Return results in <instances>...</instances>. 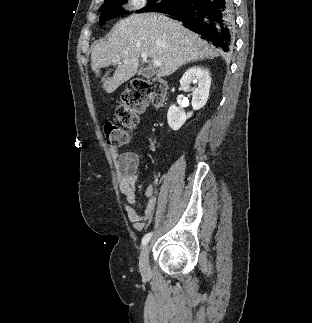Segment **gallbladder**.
I'll return each mask as SVG.
<instances>
[{
    "instance_id": "bac80fb5",
    "label": "gallbladder",
    "mask_w": 312,
    "mask_h": 323,
    "mask_svg": "<svg viewBox=\"0 0 312 323\" xmlns=\"http://www.w3.org/2000/svg\"><path fill=\"white\" fill-rule=\"evenodd\" d=\"M139 74L140 76H143V78H152V76H155V70H151V68H143V70H140Z\"/></svg>"
}]
</instances>
